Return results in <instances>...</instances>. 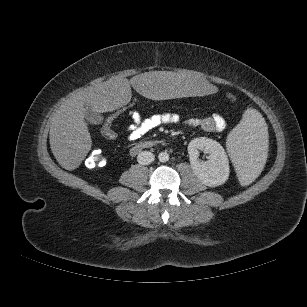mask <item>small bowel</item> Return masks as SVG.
Returning <instances> with one entry per match:
<instances>
[{
	"label": "small bowel",
	"mask_w": 307,
	"mask_h": 307,
	"mask_svg": "<svg viewBox=\"0 0 307 307\" xmlns=\"http://www.w3.org/2000/svg\"><path fill=\"white\" fill-rule=\"evenodd\" d=\"M129 120L125 131L130 141H136L161 126L181 123L179 115L171 112L157 113L143 118L139 112L133 111ZM183 125L188 128L201 127L208 132H221L226 128V120L219 114H213L205 119L192 118L186 120Z\"/></svg>",
	"instance_id": "c3829d8e"
}]
</instances>
